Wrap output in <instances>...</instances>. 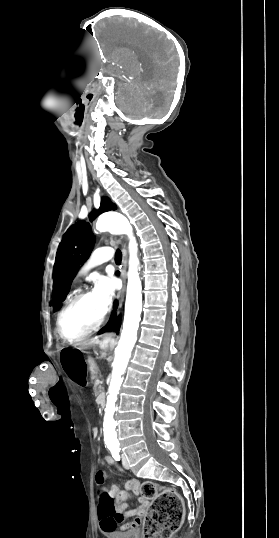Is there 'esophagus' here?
Listing matches in <instances>:
<instances>
[{
  "label": "esophagus",
  "mask_w": 279,
  "mask_h": 538,
  "mask_svg": "<svg viewBox=\"0 0 279 538\" xmlns=\"http://www.w3.org/2000/svg\"><path fill=\"white\" fill-rule=\"evenodd\" d=\"M126 268H127V250H126V245L123 244V247H122V264H121V269H120V272H121V279H122V289L118 292V299H119V303H120V306L122 305L123 303V300H124V292H125V284H126ZM104 338L105 339H112L115 337V333L114 332H107L105 333L104 335Z\"/></svg>",
  "instance_id": "obj_1"
}]
</instances>
